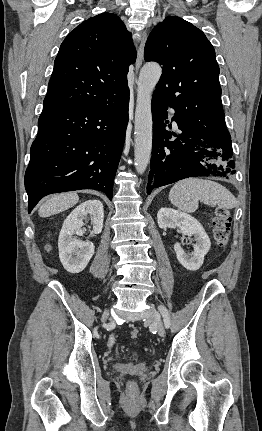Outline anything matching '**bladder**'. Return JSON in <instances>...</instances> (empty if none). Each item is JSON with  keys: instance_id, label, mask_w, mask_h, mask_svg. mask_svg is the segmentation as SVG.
Wrapping results in <instances>:
<instances>
[{"instance_id": "obj_1", "label": "bladder", "mask_w": 262, "mask_h": 431, "mask_svg": "<svg viewBox=\"0 0 262 431\" xmlns=\"http://www.w3.org/2000/svg\"><path fill=\"white\" fill-rule=\"evenodd\" d=\"M139 356H140V354H139V353H135V354H134V357H135V358H138Z\"/></svg>"}]
</instances>
